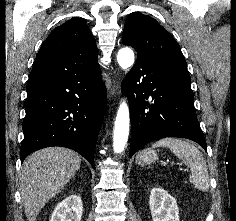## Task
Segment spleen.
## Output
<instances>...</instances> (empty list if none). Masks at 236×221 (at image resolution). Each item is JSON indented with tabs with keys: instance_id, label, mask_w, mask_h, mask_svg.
Here are the masks:
<instances>
[{
	"instance_id": "1",
	"label": "spleen",
	"mask_w": 236,
	"mask_h": 221,
	"mask_svg": "<svg viewBox=\"0 0 236 221\" xmlns=\"http://www.w3.org/2000/svg\"><path fill=\"white\" fill-rule=\"evenodd\" d=\"M153 148L167 147L191 169L190 182L203 192L209 189V174L202 153L189 142L177 138H162L156 141Z\"/></svg>"
}]
</instances>
